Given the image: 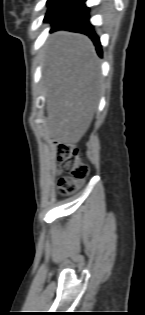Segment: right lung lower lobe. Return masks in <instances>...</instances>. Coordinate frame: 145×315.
I'll list each match as a JSON object with an SVG mask.
<instances>
[{"label":"right lung lower lobe","mask_w":145,"mask_h":315,"mask_svg":"<svg viewBox=\"0 0 145 315\" xmlns=\"http://www.w3.org/2000/svg\"><path fill=\"white\" fill-rule=\"evenodd\" d=\"M86 0H67L61 9L49 21L52 31L69 30L88 35L94 44L99 56H102L101 44L89 22V8L85 6Z\"/></svg>","instance_id":"right-lung-lower-lobe-1"}]
</instances>
